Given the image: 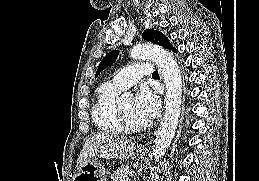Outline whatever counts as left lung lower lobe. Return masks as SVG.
<instances>
[{"label":"left lung lower lobe","mask_w":259,"mask_h":181,"mask_svg":"<svg viewBox=\"0 0 259 181\" xmlns=\"http://www.w3.org/2000/svg\"><path fill=\"white\" fill-rule=\"evenodd\" d=\"M170 50L174 51L176 53V49L173 48L172 46L169 48Z\"/></svg>","instance_id":"left-lung-lower-lobe-1"}]
</instances>
